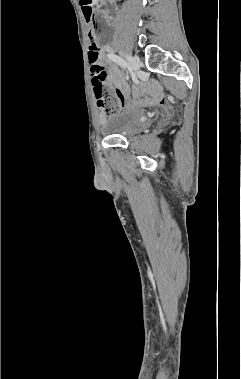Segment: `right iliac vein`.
<instances>
[{
    "mask_svg": "<svg viewBox=\"0 0 241 379\" xmlns=\"http://www.w3.org/2000/svg\"><path fill=\"white\" fill-rule=\"evenodd\" d=\"M123 56L126 59V61L129 65L130 69L132 70V72L134 74H137V72L139 70V64H138L137 60L128 54H123Z\"/></svg>",
    "mask_w": 241,
    "mask_h": 379,
    "instance_id": "63e3f726",
    "label": "right iliac vein"
}]
</instances>
